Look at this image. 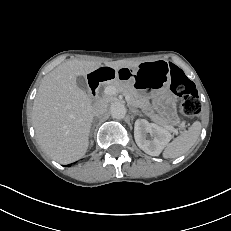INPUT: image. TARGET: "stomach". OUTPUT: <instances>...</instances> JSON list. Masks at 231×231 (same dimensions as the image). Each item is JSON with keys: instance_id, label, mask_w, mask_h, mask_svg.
Segmentation results:
<instances>
[{"instance_id": "stomach-1", "label": "stomach", "mask_w": 231, "mask_h": 231, "mask_svg": "<svg viewBox=\"0 0 231 231\" xmlns=\"http://www.w3.org/2000/svg\"><path fill=\"white\" fill-rule=\"evenodd\" d=\"M129 71V81L143 96L151 97L153 105L164 125L181 126L177 114V99L169 90L171 77L167 61L140 62L135 68H124Z\"/></svg>"}]
</instances>
